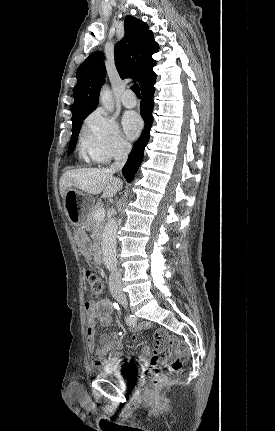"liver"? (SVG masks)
<instances>
[{
	"mask_svg": "<svg viewBox=\"0 0 275 431\" xmlns=\"http://www.w3.org/2000/svg\"><path fill=\"white\" fill-rule=\"evenodd\" d=\"M72 187L89 195L103 193V198H110L122 188V181L108 169L69 170L60 178L61 196L64 198L66 191Z\"/></svg>",
	"mask_w": 275,
	"mask_h": 431,
	"instance_id": "liver-1",
	"label": "liver"
}]
</instances>
